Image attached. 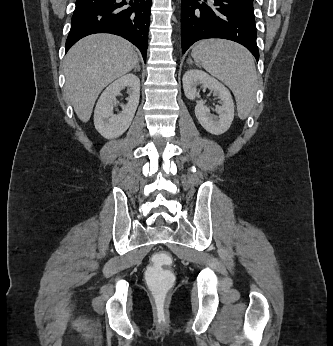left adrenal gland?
Returning <instances> with one entry per match:
<instances>
[{"instance_id":"obj_1","label":"left adrenal gland","mask_w":333,"mask_h":346,"mask_svg":"<svg viewBox=\"0 0 333 346\" xmlns=\"http://www.w3.org/2000/svg\"><path fill=\"white\" fill-rule=\"evenodd\" d=\"M187 63H189V64H193L194 62L191 60V57H189L188 59H187Z\"/></svg>"}]
</instances>
